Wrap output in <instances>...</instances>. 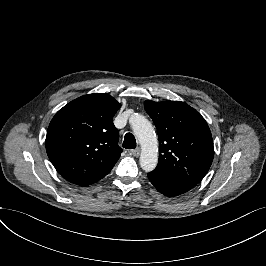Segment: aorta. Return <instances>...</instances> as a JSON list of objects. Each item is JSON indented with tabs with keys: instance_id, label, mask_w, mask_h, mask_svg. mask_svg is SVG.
Instances as JSON below:
<instances>
[{
	"instance_id": "1",
	"label": "aorta",
	"mask_w": 266,
	"mask_h": 266,
	"mask_svg": "<svg viewBox=\"0 0 266 266\" xmlns=\"http://www.w3.org/2000/svg\"><path fill=\"white\" fill-rule=\"evenodd\" d=\"M129 124L142 146L139 165L144 172H153L158 164V144L152 124L139 113L129 117Z\"/></svg>"
}]
</instances>
